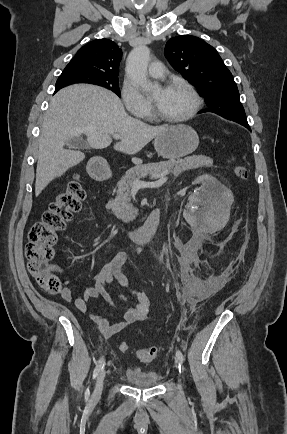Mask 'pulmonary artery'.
<instances>
[{
  "label": "pulmonary artery",
  "instance_id": "e3ab8cb5",
  "mask_svg": "<svg viewBox=\"0 0 287 434\" xmlns=\"http://www.w3.org/2000/svg\"><path fill=\"white\" fill-rule=\"evenodd\" d=\"M148 74L153 78H161L164 76V68L160 61H154L149 65Z\"/></svg>",
  "mask_w": 287,
  "mask_h": 434
}]
</instances>
